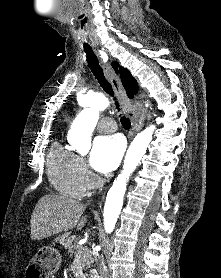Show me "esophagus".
Masks as SVG:
<instances>
[{
    "label": "esophagus",
    "mask_w": 221,
    "mask_h": 278,
    "mask_svg": "<svg viewBox=\"0 0 221 278\" xmlns=\"http://www.w3.org/2000/svg\"><path fill=\"white\" fill-rule=\"evenodd\" d=\"M96 54L100 57L102 68L104 70L105 75L111 82V85L121 103L123 111L129 116V118L133 122V127L131 131V137H133L137 132H139L145 121V114L141 109L135 110L129 99L127 98L125 91L122 87L119 74L114 70L116 66H118V62H103L102 56H100L99 52L95 50ZM105 197V192L101 194L100 201L103 200Z\"/></svg>",
    "instance_id": "1"
}]
</instances>
